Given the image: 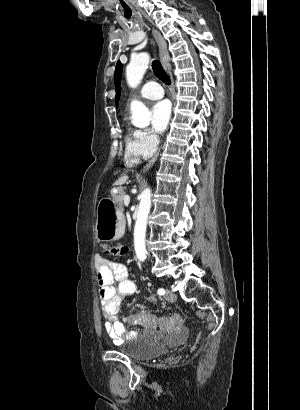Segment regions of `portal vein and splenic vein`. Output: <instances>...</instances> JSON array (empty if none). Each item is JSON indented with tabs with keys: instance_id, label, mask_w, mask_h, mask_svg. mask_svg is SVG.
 <instances>
[{
	"instance_id": "obj_1",
	"label": "portal vein and splenic vein",
	"mask_w": 300,
	"mask_h": 410,
	"mask_svg": "<svg viewBox=\"0 0 300 410\" xmlns=\"http://www.w3.org/2000/svg\"><path fill=\"white\" fill-rule=\"evenodd\" d=\"M123 200H124L125 206H128L129 203H130V197H129V195H125Z\"/></svg>"
}]
</instances>
